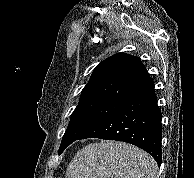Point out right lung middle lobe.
Returning a JSON list of instances; mask_svg holds the SVG:
<instances>
[{
	"label": "right lung middle lobe",
	"mask_w": 194,
	"mask_h": 178,
	"mask_svg": "<svg viewBox=\"0 0 194 178\" xmlns=\"http://www.w3.org/2000/svg\"><path fill=\"white\" fill-rule=\"evenodd\" d=\"M122 104L121 101L110 99L80 100L71 115L69 125L62 138L59 154Z\"/></svg>",
	"instance_id": "obj_1"
}]
</instances>
